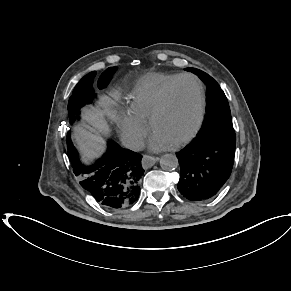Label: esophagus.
Instances as JSON below:
<instances>
[{
	"mask_svg": "<svg viewBox=\"0 0 291 291\" xmlns=\"http://www.w3.org/2000/svg\"><path fill=\"white\" fill-rule=\"evenodd\" d=\"M159 160V157H153L149 155H144L142 158V166L144 168H150L152 167L157 161Z\"/></svg>",
	"mask_w": 291,
	"mask_h": 291,
	"instance_id": "obj_1",
	"label": "esophagus"
}]
</instances>
